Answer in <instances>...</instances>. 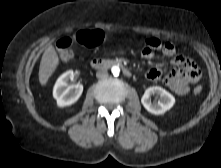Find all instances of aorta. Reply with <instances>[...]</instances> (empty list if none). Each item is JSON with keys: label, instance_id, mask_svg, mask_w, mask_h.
Wrapping results in <instances>:
<instances>
[{"label": "aorta", "instance_id": "obj_1", "mask_svg": "<svg viewBox=\"0 0 221 168\" xmlns=\"http://www.w3.org/2000/svg\"><path fill=\"white\" fill-rule=\"evenodd\" d=\"M111 72H112V74H113L114 76H118L119 73H120V67H119V66H113V67L111 68Z\"/></svg>", "mask_w": 221, "mask_h": 168}]
</instances>
